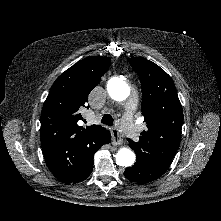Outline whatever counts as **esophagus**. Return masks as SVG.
Masks as SVG:
<instances>
[{"mask_svg":"<svg viewBox=\"0 0 221 221\" xmlns=\"http://www.w3.org/2000/svg\"><path fill=\"white\" fill-rule=\"evenodd\" d=\"M112 144L114 146L121 145L122 144V138L121 134L119 133V129L117 127L112 128Z\"/></svg>","mask_w":221,"mask_h":221,"instance_id":"esophagus-1","label":"esophagus"}]
</instances>
